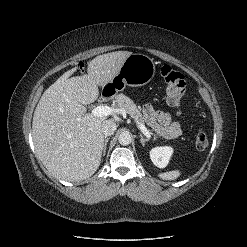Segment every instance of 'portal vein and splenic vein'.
<instances>
[{"label": "portal vein and splenic vein", "mask_w": 247, "mask_h": 247, "mask_svg": "<svg viewBox=\"0 0 247 247\" xmlns=\"http://www.w3.org/2000/svg\"><path fill=\"white\" fill-rule=\"evenodd\" d=\"M125 110L123 108H115V107H109V106H97L92 111L91 114L93 116L97 117H106L110 115H116L119 113H123ZM138 126L141 130V132L146 136L147 138H151V133L147 130L145 125L141 122H138Z\"/></svg>", "instance_id": "obj_1"}]
</instances>
